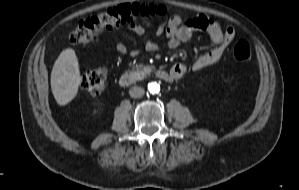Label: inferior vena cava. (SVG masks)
Masks as SVG:
<instances>
[{
  "label": "inferior vena cava",
  "mask_w": 299,
  "mask_h": 190,
  "mask_svg": "<svg viewBox=\"0 0 299 190\" xmlns=\"http://www.w3.org/2000/svg\"><path fill=\"white\" fill-rule=\"evenodd\" d=\"M129 93H130V96L133 98H140L145 94V91L143 88L135 86L130 89Z\"/></svg>",
  "instance_id": "obj_1"
}]
</instances>
